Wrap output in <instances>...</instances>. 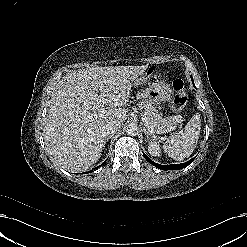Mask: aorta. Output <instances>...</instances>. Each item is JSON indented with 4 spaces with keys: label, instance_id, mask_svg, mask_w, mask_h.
Here are the masks:
<instances>
[{
    "label": "aorta",
    "instance_id": "aorta-1",
    "mask_svg": "<svg viewBox=\"0 0 247 247\" xmlns=\"http://www.w3.org/2000/svg\"><path fill=\"white\" fill-rule=\"evenodd\" d=\"M126 133L130 136H136L138 134V126L135 123H129L126 126Z\"/></svg>",
    "mask_w": 247,
    "mask_h": 247
}]
</instances>
